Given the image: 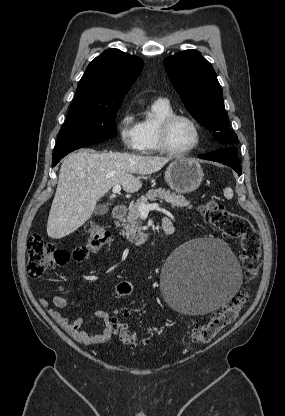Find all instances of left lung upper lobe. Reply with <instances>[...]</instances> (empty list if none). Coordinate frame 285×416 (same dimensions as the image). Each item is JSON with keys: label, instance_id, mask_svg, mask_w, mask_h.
I'll use <instances>...</instances> for the list:
<instances>
[{"label": "left lung upper lobe", "instance_id": "1", "mask_svg": "<svg viewBox=\"0 0 285 416\" xmlns=\"http://www.w3.org/2000/svg\"><path fill=\"white\" fill-rule=\"evenodd\" d=\"M168 77L190 114L222 144L238 143L228 128L222 88L212 65L196 50H185L164 60Z\"/></svg>", "mask_w": 285, "mask_h": 416}]
</instances>
